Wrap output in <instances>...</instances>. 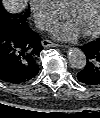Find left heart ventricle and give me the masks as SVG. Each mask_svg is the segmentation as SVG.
Returning <instances> with one entry per match:
<instances>
[{
    "label": "left heart ventricle",
    "instance_id": "obj_1",
    "mask_svg": "<svg viewBox=\"0 0 100 118\" xmlns=\"http://www.w3.org/2000/svg\"><path fill=\"white\" fill-rule=\"evenodd\" d=\"M100 8V0H85L84 3L70 13L69 19L81 32L93 29L96 25Z\"/></svg>",
    "mask_w": 100,
    "mask_h": 118
}]
</instances>
